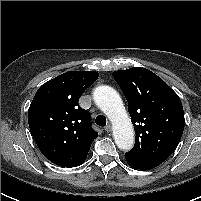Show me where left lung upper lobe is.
Wrapping results in <instances>:
<instances>
[{
	"label": "left lung upper lobe",
	"mask_w": 201,
	"mask_h": 201,
	"mask_svg": "<svg viewBox=\"0 0 201 201\" xmlns=\"http://www.w3.org/2000/svg\"><path fill=\"white\" fill-rule=\"evenodd\" d=\"M127 101L136 137L125 158L138 163H162L176 149L183 130L180 98L160 77L146 68L112 73Z\"/></svg>",
	"instance_id": "1"
}]
</instances>
